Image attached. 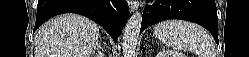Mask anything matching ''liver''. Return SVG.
I'll use <instances>...</instances> for the list:
<instances>
[{"label":"liver","instance_id":"obj_1","mask_svg":"<svg viewBox=\"0 0 249 57\" xmlns=\"http://www.w3.org/2000/svg\"><path fill=\"white\" fill-rule=\"evenodd\" d=\"M99 38V27L90 19L59 15L38 30L35 57H91Z\"/></svg>","mask_w":249,"mask_h":57}]
</instances>
